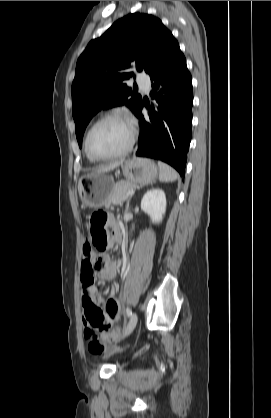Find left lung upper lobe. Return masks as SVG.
<instances>
[{"label":"left lung upper lobe","mask_w":271,"mask_h":418,"mask_svg":"<svg viewBox=\"0 0 271 418\" xmlns=\"http://www.w3.org/2000/svg\"><path fill=\"white\" fill-rule=\"evenodd\" d=\"M172 37L159 18L136 12L117 20L88 44L72 83V114L80 147L87 124L102 108L126 105L136 114L142 98L125 84L133 76L128 69L150 74Z\"/></svg>","instance_id":"1"}]
</instances>
